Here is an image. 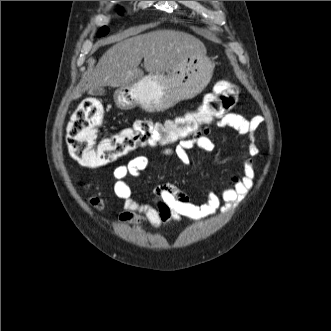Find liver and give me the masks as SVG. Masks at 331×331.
<instances>
[{
	"instance_id": "liver-1",
	"label": "liver",
	"mask_w": 331,
	"mask_h": 331,
	"mask_svg": "<svg viewBox=\"0 0 331 331\" xmlns=\"http://www.w3.org/2000/svg\"><path fill=\"white\" fill-rule=\"evenodd\" d=\"M205 52L199 39L175 30H156L131 38L122 36L100 58L83 90L128 86L144 76L139 68L142 59L147 72L165 76L188 57Z\"/></svg>"
}]
</instances>
